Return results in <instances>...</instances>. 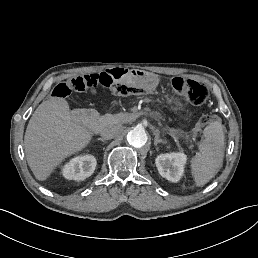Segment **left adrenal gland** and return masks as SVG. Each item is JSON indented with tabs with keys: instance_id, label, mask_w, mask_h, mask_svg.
Listing matches in <instances>:
<instances>
[{
	"instance_id": "obj_1",
	"label": "left adrenal gland",
	"mask_w": 258,
	"mask_h": 258,
	"mask_svg": "<svg viewBox=\"0 0 258 258\" xmlns=\"http://www.w3.org/2000/svg\"><path fill=\"white\" fill-rule=\"evenodd\" d=\"M159 142L166 143L167 141L164 139L158 138V136L155 135L153 143L156 145Z\"/></svg>"
}]
</instances>
